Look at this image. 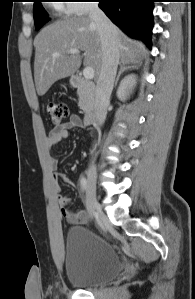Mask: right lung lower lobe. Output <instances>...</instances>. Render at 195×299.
I'll return each instance as SVG.
<instances>
[{"instance_id":"1","label":"right lung lower lobe","mask_w":195,"mask_h":299,"mask_svg":"<svg viewBox=\"0 0 195 299\" xmlns=\"http://www.w3.org/2000/svg\"><path fill=\"white\" fill-rule=\"evenodd\" d=\"M99 7L127 35L151 47L154 0H98Z\"/></svg>"}]
</instances>
